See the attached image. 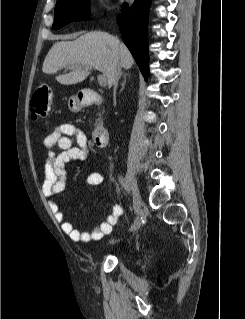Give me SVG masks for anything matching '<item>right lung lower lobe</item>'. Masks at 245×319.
<instances>
[{
  "label": "right lung lower lobe",
  "instance_id": "98d812e1",
  "mask_svg": "<svg viewBox=\"0 0 245 319\" xmlns=\"http://www.w3.org/2000/svg\"><path fill=\"white\" fill-rule=\"evenodd\" d=\"M150 3L151 0H135L129 8L124 4V12L117 16L123 41L146 80L149 76L147 23Z\"/></svg>",
  "mask_w": 245,
  "mask_h": 319
}]
</instances>
